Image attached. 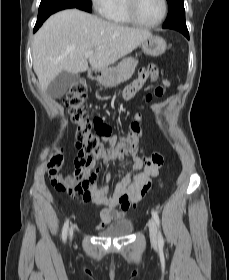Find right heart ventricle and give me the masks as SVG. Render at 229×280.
<instances>
[{
    "mask_svg": "<svg viewBox=\"0 0 229 280\" xmlns=\"http://www.w3.org/2000/svg\"><path fill=\"white\" fill-rule=\"evenodd\" d=\"M105 18L111 23L122 26L132 23L127 15L124 0H115L113 7L105 15Z\"/></svg>",
    "mask_w": 229,
    "mask_h": 280,
    "instance_id": "obj_1",
    "label": "right heart ventricle"
}]
</instances>
